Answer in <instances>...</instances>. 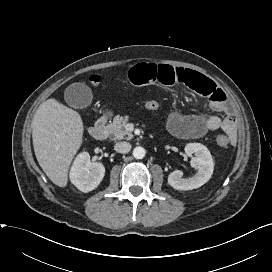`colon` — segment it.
I'll return each mask as SVG.
<instances>
[{
    "mask_svg": "<svg viewBox=\"0 0 272 272\" xmlns=\"http://www.w3.org/2000/svg\"><path fill=\"white\" fill-rule=\"evenodd\" d=\"M91 82L95 85H99L101 83V77L99 75H92ZM143 107L148 111H156L160 109L161 103L156 100H144L142 102ZM218 145L225 147L229 144V138L225 134H219L216 138Z\"/></svg>",
    "mask_w": 272,
    "mask_h": 272,
    "instance_id": "5ec220e1",
    "label": "colon"
}]
</instances>
